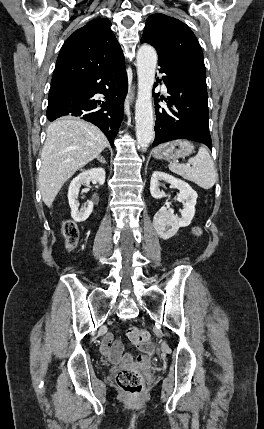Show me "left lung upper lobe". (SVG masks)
Listing matches in <instances>:
<instances>
[{
	"label": "left lung upper lobe",
	"instance_id": "1",
	"mask_svg": "<svg viewBox=\"0 0 264 429\" xmlns=\"http://www.w3.org/2000/svg\"><path fill=\"white\" fill-rule=\"evenodd\" d=\"M142 41L150 43L158 52L181 65L196 79L206 84L203 53L191 29L178 19L153 14L146 21Z\"/></svg>",
	"mask_w": 264,
	"mask_h": 429
}]
</instances>
